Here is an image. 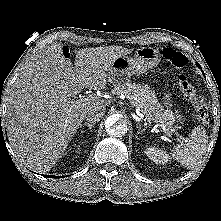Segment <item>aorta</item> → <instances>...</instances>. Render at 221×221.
<instances>
[{"mask_svg":"<svg viewBox=\"0 0 221 221\" xmlns=\"http://www.w3.org/2000/svg\"><path fill=\"white\" fill-rule=\"evenodd\" d=\"M105 127L107 133L112 137H121L128 131V125L126 121H124L116 114L107 118L105 121Z\"/></svg>","mask_w":221,"mask_h":221,"instance_id":"aorta-1","label":"aorta"}]
</instances>
